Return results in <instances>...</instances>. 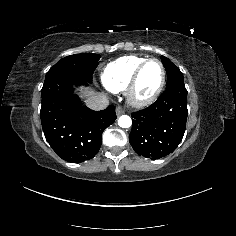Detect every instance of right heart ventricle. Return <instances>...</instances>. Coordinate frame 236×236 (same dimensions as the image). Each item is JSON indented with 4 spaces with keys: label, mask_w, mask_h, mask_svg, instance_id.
Returning <instances> with one entry per match:
<instances>
[{
    "label": "right heart ventricle",
    "mask_w": 236,
    "mask_h": 236,
    "mask_svg": "<svg viewBox=\"0 0 236 236\" xmlns=\"http://www.w3.org/2000/svg\"><path fill=\"white\" fill-rule=\"evenodd\" d=\"M146 59V57L129 55L108 63L101 72L102 84L112 93L125 91L135 70Z\"/></svg>",
    "instance_id": "1"
}]
</instances>
